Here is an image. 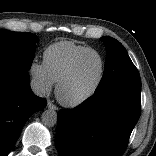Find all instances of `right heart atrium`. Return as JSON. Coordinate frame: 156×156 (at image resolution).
Masks as SVG:
<instances>
[{
    "label": "right heart atrium",
    "instance_id": "d8ad5b80",
    "mask_svg": "<svg viewBox=\"0 0 156 156\" xmlns=\"http://www.w3.org/2000/svg\"><path fill=\"white\" fill-rule=\"evenodd\" d=\"M29 74L34 88L39 94H47L52 90L54 82L43 63L33 61L29 67Z\"/></svg>",
    "mask_w": 156,
    "mask_h": 156
}]
</instances>
